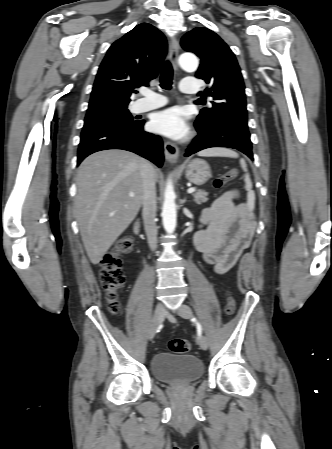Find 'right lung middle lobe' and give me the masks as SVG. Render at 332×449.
<instances>
[{
  "label": "right lung middle lobe",
  "mask_w": 332,
  "mask_h": 449,
  "mask_svg": "<svg viewBox=\"0 0 332 449\" xmlns=\"http://www.w3.org/2000/svg\"><path fill=\"white\" fill-rule=\"evenodd\" d=\"M137 122L138 121L133 119L127 107L120 109H103L87 113L83 130L102 126L126 128Z\"/></svg>",
  "instance_id": "right-lung-middle-lobe-1"
}]
</instances>
